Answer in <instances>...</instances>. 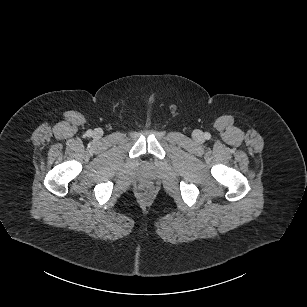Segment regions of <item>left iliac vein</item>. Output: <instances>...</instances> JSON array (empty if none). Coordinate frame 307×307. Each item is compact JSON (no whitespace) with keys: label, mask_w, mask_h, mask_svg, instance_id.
Returning a JSON list of instances; mask_svg holds the SVG:
<instances>
[{"label":"left iliac vein","mask_w":307,"mask_h":307,"mask_svg":"<svg viewBox=\"0 0 307 307\" xmlns=\"http://www.w3.org/2000/svg\"><path fill=\"white\" fill-rule=\"evenodd\" d=\"M194 138H195V140H197V141H202L203 135H202V133H201L200 131H195V132H194Z\"/></svg>","instance_id":"1"}]
</instances>
